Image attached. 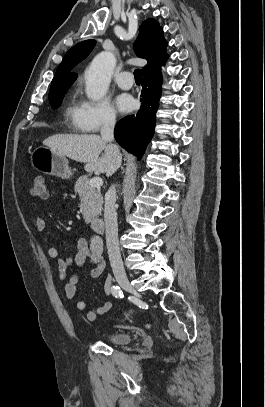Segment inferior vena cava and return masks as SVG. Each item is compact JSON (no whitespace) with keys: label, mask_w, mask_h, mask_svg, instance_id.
<instances>
[{"label":"inferior vena cava","mask_w":265,"mask_h":407,"mask_svg":"<svg viewBox=\"0 0 265 407\" xmlns=\"http://www.w3.org/2000/svg\"><path fill=\"white\" fill-rule=\"evenodd\" d=\"M114 127L115 115L111 113L106 114L101 127V136L104 141L112 142L114 140ZM116 152L118 155H120L119 149L117 147ZM115 203L116 190L115 186L112 185L105 195L104 220L109 261L113 270V274L117 278L126 277V274L121 259L118 242V224Z\"/></svg>","instance_id":"inferior-vena-cava-1"}]
</instances>
